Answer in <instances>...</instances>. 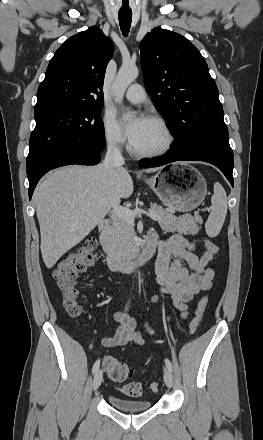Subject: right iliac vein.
<instances>
[{"label":"right iliac vein","mask_w":263,"mask_h":440,"mask_svg":"<svg viewBox=\"0 0 263 440\" xmlns=\"http://www.w3.org/2000/svg\"><path fill=\"white\" fill-rule=\"evenodd\" d=\"M102 379H103V373L101 370H97L94 374V378H93V390H97L101 383H102Z\"/></svg>","instance_id":"63e3f726"}]
</instances>
